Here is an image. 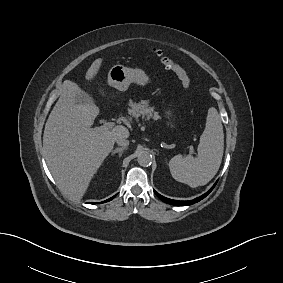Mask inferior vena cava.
I'll use <instances>...</instances> for the list:
<instances>
[{
  "label": "inferior vena cava",
  "mask_w": 283,
  "mask_h": 283,
  "mask_svg": "<svg viewBox=\"0 0 283 283\" xmlns=\"http://www.w3.org/2000/svg\"><path fill=\"white\" fill-rule=\"evenodd\" d=\"M116 142H117V144H118L119 146H124V147H126V146L129 145V141H128L127 139H125V138H119V139L116 140Z\"/></svg>",
  "instance_id": "obj_1"
}]
</instances>
